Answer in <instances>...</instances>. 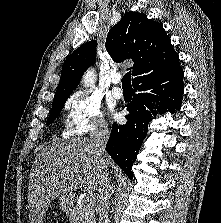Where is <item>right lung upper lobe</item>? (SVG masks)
Returning <instances> with one entry per match:
<instances>
[{"label": "right lung upper lobe", "mask_w": 221, "mask_h": 223, "mask_svg": "<svg viewBox=\"0 0 221 223\" xmlns=\"http://www.w3.org/2000/svg\"><path fill=\"white\" fill-rule=\"evenodd\" d=\"M96 41L77 48L64 62L54 100L68 98L83 73L96 59ZM106 50L115 62L133 59L132 83L162 76L177 66L179 58L163 25L145 14L127 12L106 38Z\"/></svg>", "instance_id": "cb5924a9"}]
</instances>
